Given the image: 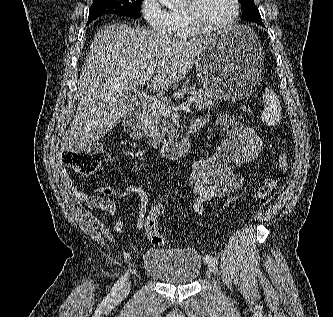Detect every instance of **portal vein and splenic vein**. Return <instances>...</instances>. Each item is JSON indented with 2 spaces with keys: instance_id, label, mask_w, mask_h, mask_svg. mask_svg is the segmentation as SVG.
Returning <instances> with one entry per match:
<instances>
[{
  "instance_id": "18ae733b",
  "label": "portal vein and splenic vein",
  "mask_w": 333,
  "mask_h": 317,
  "mask_svg": "<svg viewBox=\"0 0 333 317\" xmlns=\"http://www.w3.org/2000/svg\"><path fill=\"white\" fill-rule=\"evenodd\" d=\"M153 71H154V68L150 69V73H152ZM196 101H197V98H190V99H187L186 101L182 102L177 107H171V106H169L165 103H159L158 107H159V109H160V111L162 112L163 115H170L173 111L188 109V107L193 102H196Z\"/></svg>"
}]
</instances>
